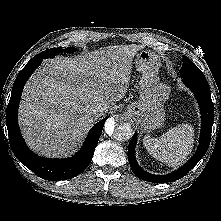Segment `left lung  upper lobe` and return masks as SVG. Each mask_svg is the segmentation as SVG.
<instances>
[{
    "label": "left lung upper lobe",
    "mask_w": 221,
    "mask_h": 221,
    "mask_svg": "<svg viewBox=\"0 0 221 221\" xmlns=\"http://www.w3.org/2000/svg\"><path fill=\"white\" fill-rule=\"evenodd\" d=\"M181 77H205L198 67L186 56H183V65L180 70Z\"/></svg>",
    "instance_id": "1"
}]
</instances>
